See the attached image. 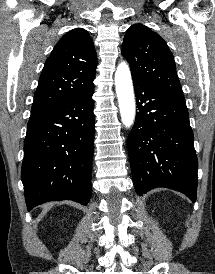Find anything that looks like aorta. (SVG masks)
I'll return each instance as SVG.
<instances>
[{"label":"aorta","mask_w":215,"mask_h":274,"mask_svg":"<svg viewBox=\"0 0 215 274\" xmlns=\"http://www.w3.org/2000/svg\"><path fill=\"white\" fill-rule=\"evenodd\" d=\"M115 86L121 119L124 126L129 128L135 119V99L130 69L125 62H121L117 67Z\"/></svg>","instance_id":"1"}]
</instances>
